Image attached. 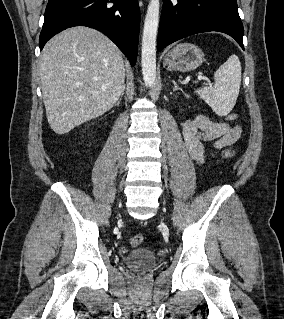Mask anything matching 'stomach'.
I'll return each mask as SVG.
<instances>
[{
    "label": "stomach",
    "instance_id": "1",
    "mask_svg": "<svg viewBox=\"0 0 284 319\" xmlns=\"http://www.w3.org/2000/svg\"><path fill=\"white\" fill-rule=\"evenodd\" d=\"M204 61L202 50L191 43H180L164 57V66L169 71L189 72Z\"/></svg>",
    "mask_w": 284,
    "mask_h": 319
}]
</instances>
